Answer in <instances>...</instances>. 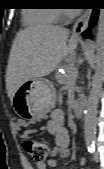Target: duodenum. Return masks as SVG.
Instances as JSON below:
<instances>
[{
	"label": "duodenum",
	"mask_w": 104,
	"mask_h": 169,
	"mask_svg": "<svg viewBox=\"0 0 104 169\" xmlns=\"http://www.w3.org/2000/svg\"><path fill=\"white\" fill-rule=\"evenodd\" d=\"M73 109H74V115H75L77 118L83 117L84 111H85V109H86V103H85V101H83V100L77 101V102L74 104Z\"/></svg>",
	"instance_id": "duodenum-1"
}]
</instances>
